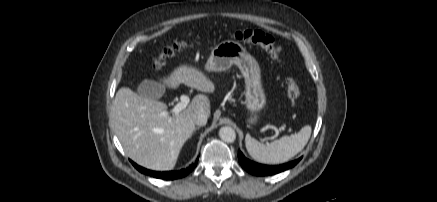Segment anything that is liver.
I'll use <instances>...</instances> for the list:
<instances>
[{
	"mask_svg": "<svg viewBox=\"0 0 437 202\" xmlns=\"http://www.w3.org/2000/svg\"><path fill=\"white\" fill-rule=\"evenodd\" d=\"M177 89L180 84L211 93L214 83L203 71L181 65L162 79ZM199 112L210 115V100L198 94L179 114H170L163 102L142 97L128 87L120 88L113 101L112 116L116 134L125 154L137 164L157 171L172 169L185 142L195 131Z\"/></svg>",
	"mask_w": 437,
	"mask_h": 202,
	"instance_id": "6515ba94",
	"label": "liver"
}]
</instances>
